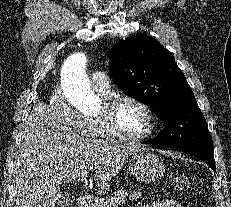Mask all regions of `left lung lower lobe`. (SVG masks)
I'll return each instance as SVG.
<instances>
[{
	"instance_id": "0a47b994",
	"label": "left lung lower lobe",
	"mask_w": 231,
	"mask_h": 207,
	"mask_svg": "<svg viewBox=\"0 0 231 207\" xmlns=\"http://www.w3.org/2000/svg\"><path fill=\"white\" fill-rule=\"evenodd\" d=\"M152 147L160 148V147H157L155 143L152 145ZM179 150L200 158L215 171L216 168H215L213 149L204 148V147H188V148H179Z\"/></svg>"
}]
</instances>
